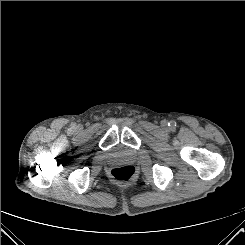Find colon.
<instances>
[{
  "label": "colon",
  "mask_w": 245,
  "mask_h": 245,
  "mask_svg": "<svg viewBox=\"0 0 245 245\" xmlns=\"http://www.w3.org/2000/svg\"><path fill=\"white\" fill-rule=\"evenodd\" d=\"M111 176L119 183H128L135 176V168L129 164L116 166L111 170Z\"/></svg>",
  "instance_id": "colon-1"
}]
</instances>
